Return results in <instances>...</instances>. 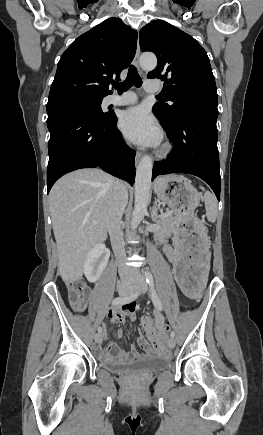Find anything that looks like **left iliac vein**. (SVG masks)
<instances>
[{
	"label": "left iliac vein",
	"mask_w": 263,
	"mask_h": 435,
	"mask_svg": "<svg viewBox=\"0 0 263 435\" xmlns=\"http://www.w3.org/2000/svg\"><path fill=\"white\" fill-rule=\"evenodd\" d=\"M135 291L139 293H145L147 291V284L145 282V279L142 275H139V284L135 287ZM175 340L173 338H170L168 340V346L169 348L175 347Z\"/></svg>",
	"instance_id": "1"
}]
</instances>
